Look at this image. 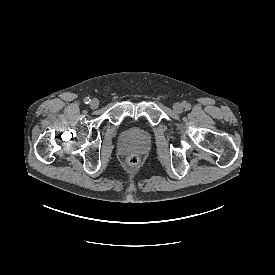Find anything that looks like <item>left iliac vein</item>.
<instances>
[{"mask_svg": "<svg viewBox=\"0 0 275 275\" xmlns=\"http://www.w3.org/2000/svg\"><path fill=\"white\" fill-rule=\"evenodd\" d=\"M173 110L177 113H181L183 112V106L180 103H174Z\"/></svg>", "mask_w": 275, "mask_h": 275, "instance_id": "4c4485c4", "label": "left iliac vein"}]
</instances>
